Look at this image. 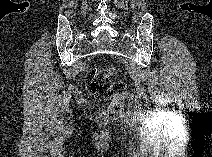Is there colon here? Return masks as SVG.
Wrapping results in <instances>:
<instances>
[{
    "label": "colon",
    "mask_w": 212,
    "mask_h": 157,
    "mask_svg": "<svg viewBox=\"0 0 212 157\" xmlns=\"http://www.w3.org/2000/svg\"><path fill=\"white\" fill-rule=\"evenodd\" d=\"M115 69L105 68L91 71L86 77V87L91 95L100 100L116 99L125 93L126 87L122 81H113ZM117 109L118 105L115 104Z\"/></svg>",
    "instance_id": "obj_1"
}]
</instances>
